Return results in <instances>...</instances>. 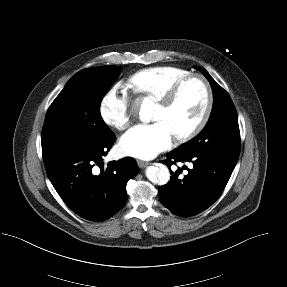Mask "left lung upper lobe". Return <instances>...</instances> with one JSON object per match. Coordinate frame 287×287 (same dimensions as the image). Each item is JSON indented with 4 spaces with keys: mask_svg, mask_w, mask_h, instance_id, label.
Here are the masks:
<instances>
[{
    "mask_svg": "<svg viewBox=\"0 0 287 287\" xmlns=\"http://www.w3.org/2000/svg\"><path fill=\"white\" fill-rule=\"evenodd\" d=\"M209 80L213 90V108L210 118L200 134L177 148L181 151H207L238 160L240 132L237 112L228 93L201 68L195 67Z\"/></svg>",
    "mask_w": 287,
    "mask_h": 287,
    "instance_id": "obj_1",
    "label": "left lung upper lobe"
}]
</instances>
